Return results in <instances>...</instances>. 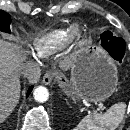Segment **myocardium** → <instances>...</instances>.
Returning a JSON list of instances; mask_svg holds the SVG:
<instances>
[{"label": "myocardium", "mask_w": 130, "mask_h": 130, "mask_svg": "<svg viewBox=\"0 0 130 130\" xmlns=\"http://www.w3.org/2000/svg\"><path fill=\"white\" fill-rule=\"evenodd\" d=\"M81 36H82V32L78 26L71 28L70 40H78L79 38H81Z\"/></svg>", "instance_id": "obj_1"}]
</instances>
